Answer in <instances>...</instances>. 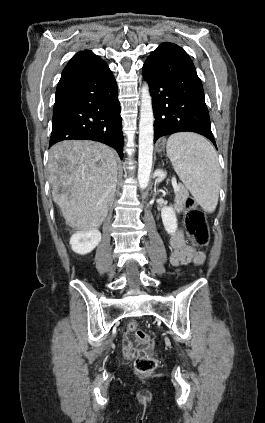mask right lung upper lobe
<instances>
[{"mask_svg": "<svg viewBox=\"0 0 265 423\" xmlns=\"http://www.w3.org/2000/svg\"><path fill=\"white\" fill-rule=\"evenodd\" d=\"M80 53H91L90 51H83V52H79L78 54H80Z\"/></svg>", "mask_w": 265, "mask_h": 423, "instance_id": "cb5924a9", "label": "right lung upper lobe"}]
</instances>
